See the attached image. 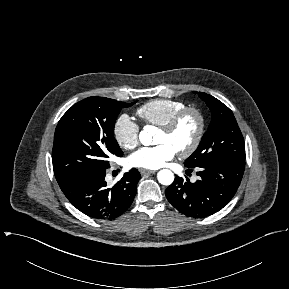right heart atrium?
I'll list each match as a JSON object with an SVG mask.
<instances>
[{"label":"right heart atrium","mask_w":289,"mask_h":289,"mask_svg":"<svg viewBox=\"0 0 289 289\" xmlns=\"http://www.w3.org/2000/svg\"><path fill=\"white\" fill-rule=\"evenodd\" d=\"M116 142L126 150H132L139 144V127L128 115H120L113 127Z\"/></svg>","instance_id":"1"}]
</instances>
